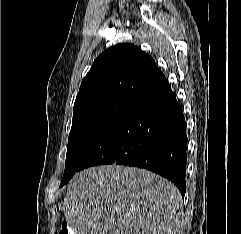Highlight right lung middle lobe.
<instances>
[{
	"label": "right lung middle lobe",
	"mask_w": 241,
	"mask_h": 234,
	"mask_svg": "<svg viewBox=\"0 0 241 234\" xmlns=\"http://www.w3.org/2000/svg\"><path fill=\"white\" fill-rule=\"evenodd\" d=\"M136 104L111 101L81 108L73 112L68 139L65 171L60 187L66 184L96 144L124 119Z\"/></svg>",
	"instance_id": "1"
}]
</instances>
